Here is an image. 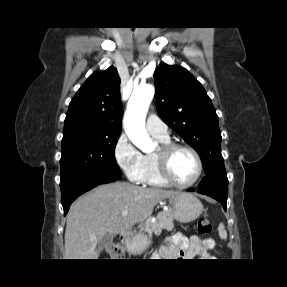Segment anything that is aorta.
<instances>
[{
	"label": "aorta",
	"instance_id": "obj_1",
	"mask_svg": "<svg viewBox=\"0 0 287 287\" xmlns=\"http://www.w3.org/2000/svg\"><path fill=\"white\" fill-rule=\"evenodd\" d=\"M152 85L135 88L128 101L123 119L124 130L131 142L145 153L154 151L157 143L153 142L145 128V119L149 105L154 97Z\"/></svg>",
	"mask_w": 287,
	"mask_h": 287
}]
</instances>
